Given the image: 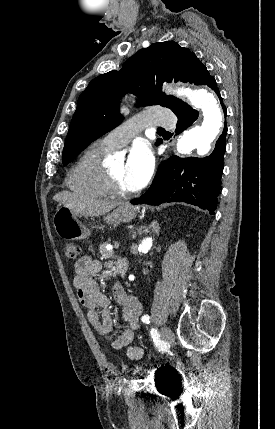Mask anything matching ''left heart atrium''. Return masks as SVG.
<instances>
[{
    "label": "left heart atrium",
    "instance_id": "obj_1",
    "mask_svg": "<svg viewBox=\"0 0 275 429\" xmlns=\"http://www.w3.org/2000/svg\"><path fill=\"white\" fill-rule=\"evenodd\" d=\"M153 154L150 146L139 141L135 143L125 163V183L131 191L142 188L153 169Z\"/></svg>",
    "mask_w": 275,
    "mask_h": 429
}]
</instances>
